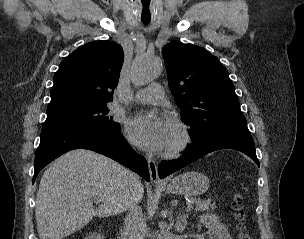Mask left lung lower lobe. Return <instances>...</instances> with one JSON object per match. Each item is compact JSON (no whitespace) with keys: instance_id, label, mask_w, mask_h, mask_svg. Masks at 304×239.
Returning <instances> with one entry per match:
<instances>
[{"instance_id":"0a47b994","label":"left lung lower lobe","mask_w":304,"mask_h":239,"mask_svg":"<svg viewBox=\"0 0 304 239\" xmlns=\"http://www.w3.org/2000/svg\"><path fill=\"white\" fill-rule=\"evenodd\" d=\"M225 148H230L245 153L252 158L258 166H260L251 134L225 133L214 136L200 143H194L193 147L186 151L179 159L161 162L159 164V177L165 178L171 173L203 157L204 155Z\"/></svg>"}]
</instances>
